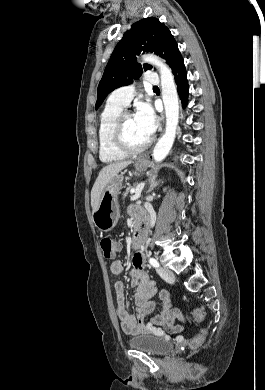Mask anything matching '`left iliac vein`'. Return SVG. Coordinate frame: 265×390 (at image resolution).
I'll list each match as a JSON object with an SVG mask.
<instances>
[{"instance_id":"left-iliac-vein-1","label":"left iliac vein","mask_w":265,"mask_h":390,"mask_svg":"<svg viewBox=\"0 0 265 390\" xmlns=\"http://www.w3.org/2000/svg\"><path fill=\"white\" fill-rule=\"evenodd\" d=\"M156 271L161 276V278H163L166 282L171 283L175 281V275L171 270L158 267Z\"/></svg>"}]
</instances>
